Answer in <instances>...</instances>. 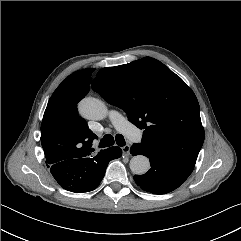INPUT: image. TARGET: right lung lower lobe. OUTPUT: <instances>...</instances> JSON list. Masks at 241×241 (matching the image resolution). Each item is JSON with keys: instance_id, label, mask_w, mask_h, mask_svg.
I'll return each instance as SVG.
<instances>
[{"instance_id": "right-lung-lower-lobe-1", "label": "right lung lower lobe", "mask_w": 241, "mask_h": 241, "mask_svg": "<svg viewBox=\"0 0 241 241\" xmlns=\"http://www.w3.org/2000/svg\"><path fill=\"white\" fill-rule=\"evenodd\" d=\"M121 155L122 150L119 147H111L96 155L57 162L48 161L46 164L62 188L83 193L97 188L104 177L108 163Z\"/></svg>"}]
</instances>
